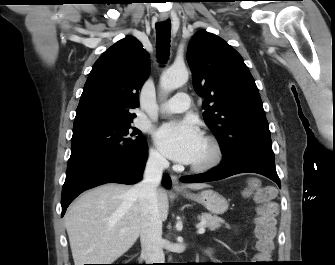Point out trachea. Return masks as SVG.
<instances>
[{
	"label": "trachea",
	"instance_id": "1",
	"mask_svg": "<svg viewBox=\"0 0 335 265\" xmlns=\"http://www.w3.org/2000/svg\"><path fill=\"white\" fill-rule=\"evenodd\" d=\"M170 35V20L156 24L157 57L161 63H166L170 55Z\"/></svg>",
	"mask_w": 335,
	"mask_h": 265
}]
</instances>
